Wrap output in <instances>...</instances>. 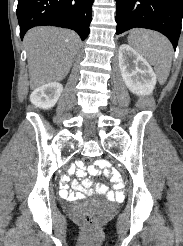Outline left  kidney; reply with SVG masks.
Here are the masks:
<instances>
[{
  "mask_svg": "<svg viewBox=\"0 0 183 246\" xmlns=\"http://www.w3.org/2000/svg\"><path fill=\"white\" fill-rule=\"evenodd\" d=\"M119 67L125 85L136 95H150L156 75L148 61L127 44L119 47Z\"/></svg>",
  "mask_w": 183,
  "mask_h": 246,
  "instance_id": "obj_1",
  "label": "left kidney"
}]
</instances>
